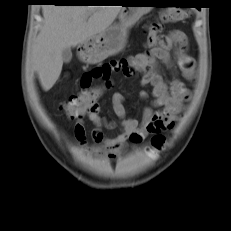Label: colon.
<instances>
[{"label":"colon","instance_id":"1","mask_svg":"<svg viewBox=\"0 0 231 231\" xmlns=\"http://www.w3.org/2000/svg\"><path fill=\"white\" fill-rule=\"evenodd\" d=\"M188 17V12L180 8H170L166 10L161 18L166 22H179ZM101 93L98 88L82 90L79 93L72 95L63 105L62 109L71 119L83 117L87 112L92 110L97 105V99ZM163 143V138L156 135L152 139V146L160 148Z\"/></svg>","mask_w":231,"mask_h":231}]
</instances>
